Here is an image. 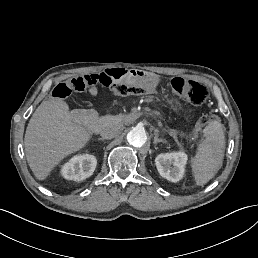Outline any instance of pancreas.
Masks as SVG:
<instances>
[{"instance_id":"pancreas-1","label":"pancreas","mask_w":258,"mask_h":258,"mask_svg":"<svg viewBox=\"0 0 258 258\" xmlns=\"http://www.w3.org/2000/svg\"><path fill=\"white\" fill-rule=\"evenodd\" d=\"M136 118H151V119H153L155 122H160L161 121V116H160V114L159 113H157V112H151V111H136V110H134V111H128V112H126L125 113V115H120V116H118L117 117V120H116V122H117V124L118 125H123L124 124V122L126 121V122H131L133 119H136ZM110 118H108V117H105V118H103V120H104V124H107L108 123V120H109ZM177 134H178V131L177 130H175V129H170L169 130V135L170 136H173V137H177Z\"/></svg>"}]
</instances>
